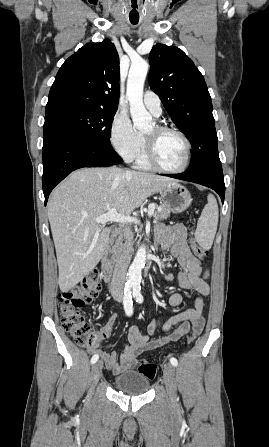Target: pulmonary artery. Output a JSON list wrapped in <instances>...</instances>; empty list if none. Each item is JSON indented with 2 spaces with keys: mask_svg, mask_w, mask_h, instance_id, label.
I'll return each instance as SVG.
<instances>
[{
  "mask_svg": "<svg viewBox=\"0 0 269 447\" xmlns=\"http://www.w3.org/2000/svg\"><path fill=\"white\" fill-rule=\"evenodd\" d=\"M143 104L156 117L162 112L160 97L150 90L145 92L143 96Z\"/></svg>",
  "mask_w": 269,
  "mask_h": 447,
  "instance_id": "1",
  "label": "pulmonary artery"
}]
</instances>
